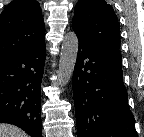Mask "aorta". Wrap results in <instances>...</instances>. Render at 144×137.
<instances>
[{
    "label": "aorta",
    "mask_w": 144,
    "mask_h": 137,
    "mask_svg": "<svg viewBox=\"0 0 144 137\" xmlns=\"http://www.w3.org/2000/svg\"><path fill=\"white\" fill-rule=\"evenodd\" d=\"M78 45V37L75 32L71 31L65 35L61 46L59 69L57 72V84L61 88L67 85L73 75L77 59Z\"/></svg>",
    "instance_id": "1"
}]
</instances>
